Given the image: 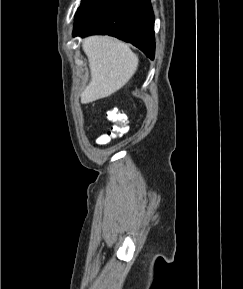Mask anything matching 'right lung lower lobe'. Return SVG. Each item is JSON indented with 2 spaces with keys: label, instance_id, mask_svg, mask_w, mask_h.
Masks as SVG:
<instances>
[{
  "label": "right lung lower lobe",
  "instance_id": "right-lung-lower-lobe-1",
  "mask_svg": "<svg viewBox=\"0 0 243 289\" xmlns=\"http://www.w3.org/2000/svg\"><path fill=\"white\" fill-rule=\"evenodd\" d=\"M103 34L129 42L154 59V14L150 0H83L73 36Z\"/></svg>",
  "mask_w": 243,
  "mask_h": 289
}]
</instances>
